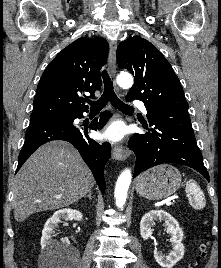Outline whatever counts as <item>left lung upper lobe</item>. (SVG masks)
<instances>
[{
  "label": "left lung upper lobe",
  "mask_w": 221,
  "mask_h": 268,
  "mask_svg": "<svg viewBox=\"0 0 221 268\" xmlns=\"http://www.w3.org/2000/svg\"><path fill=\"white\" fill-rule=\"evenodd\" d=\"M120 68L134 75L127 97L144 102L147 108L188 111L181 83L170 63L146 39L130 37L117 47Z\"/></svg>",
  "instance_id": "5c2ea615"
}]
</instances>
